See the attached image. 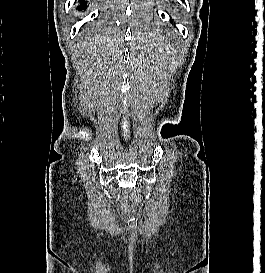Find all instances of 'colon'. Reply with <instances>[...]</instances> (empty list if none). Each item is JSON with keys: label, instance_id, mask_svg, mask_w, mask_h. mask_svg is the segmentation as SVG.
<instances>
[{"label": "colon", "instance_id": "1", "mask_svg": "<svg viewBox=\"0 0 265 273\" xmlns=\"http://www.w3.org/2000/svg\"><path fill=\"white\" fill-rule=\"evenodd\" d=\"M137 202H138V199L136 197H129L123 201V206H125V207L133 206V205L137 204Z\"/></svg>", "mask_w": 265, "mask_h": 273}]
</instances>
